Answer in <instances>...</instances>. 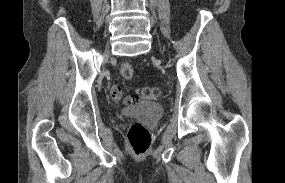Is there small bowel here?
<instances>
[{
    "mask_svg": "<svg viewBox=\"0 0 285 183\" xmlns=\"http://www.w3.org/2000/svg\"><path fill=\"white\" fill-rule=\"evenodd\" d=\"M111 95H113L114 100H119L121 98V88L119 86H113L111 88Z\"/></svg>",
    "mask_w": 285,
    "mask_h": 183,
    "instance_id": "1",
    "label": "small bowel"
}]
</instances>
